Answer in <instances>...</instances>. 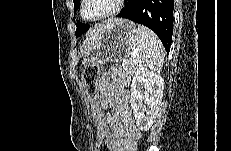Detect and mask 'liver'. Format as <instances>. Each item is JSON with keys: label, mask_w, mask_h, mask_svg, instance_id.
I'll use <instances>...</instances> for the list:
<instances>
[{"label": "liver", "mask_w": 231, "mask_h": 151, "mask_svg": "<svg viewBox=\"0 0 231 151\" xmlns=\"http://www.w3.org/2000/svg\"><path fill=\"white\" fill-rule=\"evenodd\" d=\"M122 19H112L105 21L102 24L96 26L88 35L82 46V52L85 53L90 47H92L102 36L105 30L113 23L120 22Z\"/></svg>", "instance_id": "1"}]
</instances>
